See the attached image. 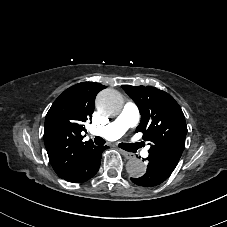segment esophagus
I'll list each match as a JSON object with an SVG mask.
<instances>
[{"instance_id":"34e87169","label":"esophagus","mask_w":227,"mask_h":227,"mask_svg":"<svg viewBox=\"0 0 227 227\" xmlns=\"http://www.w3.org/2000/svg\"><path fill=\"white\" fill-rule=\"evenodd\" d=\"M120 153L126 158V159H132L135 157V154L124 151V150H120Z\"/></svg>"}]
</instances>
